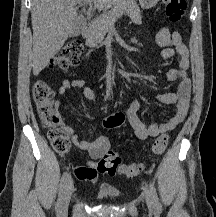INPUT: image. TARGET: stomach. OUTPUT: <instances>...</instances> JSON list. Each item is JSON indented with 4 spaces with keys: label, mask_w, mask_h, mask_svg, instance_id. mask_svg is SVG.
<instances>
[{
    "label": "stomach",
    "mask_w": 216,
    "mask_h": 217,
    "mask_svg": "<svg viewBox=\"0 0 216 217\" xmlns=\"http://www.w3.org/2000/svg\"><path fill=\"white\" fill-rule=\"evenodd\" d=\"M159 0H139L142 9H150L157 5Z\"/></svg>",
    "instance_id": "0dacf381"
}]
</instances>
